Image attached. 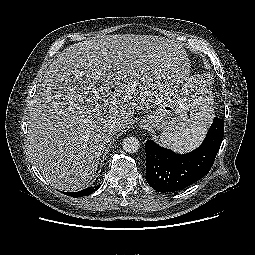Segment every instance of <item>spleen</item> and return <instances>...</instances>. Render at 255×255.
<instances>
[{"label":"spleen","mask_w":255,"mask_h":255,"mask_svg":"<svg viewBox=\"0 0 255 255\" xmlns=\"http://www.w3.org/2000/svg\"><path fill=\"white\" fill-rule=\"evenodd\" d=\"M210 120L211 115L204 107L201 108L192 114L188 128L162 133L160 136L161 145L179 153H185L196 148L203 140Z\"/></svg>","instance_id":"obj_1"}]
</instances>
